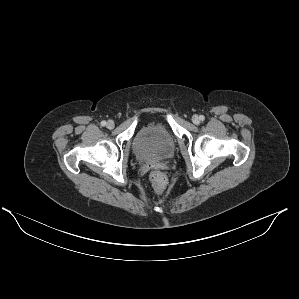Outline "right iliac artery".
Returning a JSON list of instances; mask_svg holds the SVG:
<instances>
[{"label": "right iliac artery", "instance_id": "82829eb1", "mask_svg": "<svg viewBox=\"0 0 299 299\" xmlns=\"http://www.w3.org/2000/svg\"><path fill=\"white\" fill-rule=\"evenodd\" d=\"M105 125H106V121H102L101 126H105Z\"/></svg>", "mask_w": 299, "mask_h": 299}]
</instances>
